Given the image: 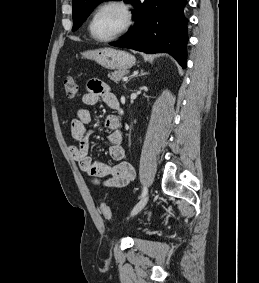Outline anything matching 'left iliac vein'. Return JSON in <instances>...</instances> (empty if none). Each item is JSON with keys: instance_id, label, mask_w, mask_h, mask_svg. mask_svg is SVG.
I'll return each mask as SVG.
<instances>
[{"instance_id": "left-iliac-vein-1", "label": "left iliac vein", "mask_w": 259, "mask_h": 283, "mask_svg": "<svg viewBox=\"0 0 259 283\" xmlns=\"http://www.w3.org/2000/svg\"><path fill=\"white\" fill-rule=\"evenodd\" d=\"M149 200L148 194H146L144 197L141 198V200L134 206V208L131 211V216H134L138 214L147 204Z\"/></svg>"}]
</instances>
